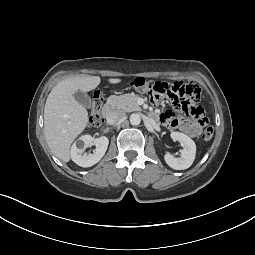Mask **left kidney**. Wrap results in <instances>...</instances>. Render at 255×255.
Listing matches in <instances>:
<instances>
[{"mask_svg":"<svg viewBox=\"0 0 255 255\" xmlns=\"http://www.w3.org/2000/svg\"><path fill=\"white\" fill-rule=\"evenodd\" d=\"M173 141H178L183 150L181 151V157L175 158L170 153L164 155L165 162L175 170H184L189 168L195 159L196 145L195 142L181 132H172L170 134Z\"/></svg>","mask_w":255,"mask_h":255,"instance_id":"5707ae66","label":"left kidney"}]
</instances>
